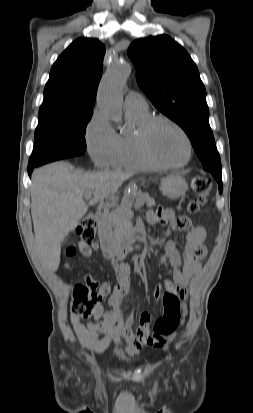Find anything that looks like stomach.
Wrapping results in <instances>:
<instances>
[{
	"mask_svg": "<svg viewBox=\"0 0 253 413\" xmlns=\"http://www.w3.org/2000/svg\"><path fill=\"white\" fill-rule=\"evenodd\" d=\"M188 189L186 180L177 174L170 175L161 181L160 190L163 195L174 200L183 196Z\"/></svg>",
	"mask_w": 253,
	"mask_h": 413,
	"instance_id": "obj_1",
	"label": "stomach"
}]
</instances>
